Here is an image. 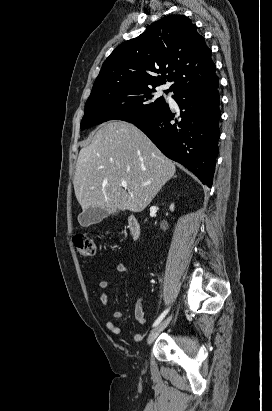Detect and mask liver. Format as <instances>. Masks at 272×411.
I'll list each match as a JSON object with an SVG mask.
<instances>
[{
  "label": "liver",
  "mask_w": 272,
  "mask_h": 411,
  "mask_svg": "<svg viewBox=\"0 0 272 411\" xmlns=\"http://www.w3.org/2000/svg\"><path fill=\"white\" fill-rule=\"evenodd\" d=\"M175 172V164L141 130L113 121L80 150L73 185L83 211L99 207L107 214L141 212Z\"/></svg>",
  "instance_id": "obj_1"
}]
</instances>
